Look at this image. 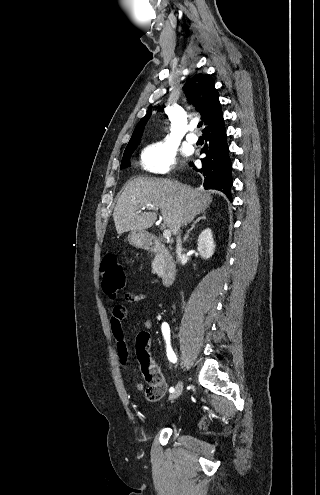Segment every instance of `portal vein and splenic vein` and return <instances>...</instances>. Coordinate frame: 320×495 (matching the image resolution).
Returning a JSON list of instances; mask_svg holds the SVG:
<instances>
[{
    "instance_id": "portal-vein-and-splenic-vein-1",
    "label": "portal vein and splenic vein",
    "mask_w": 320,
    "mask_h": 495,
    "mask_svg": "<svg viewBox=\"0 0 320 495\" xmlns=\"http://www.w3.org/2000/svg\"><path fill=\"white\" fill-rule=\"evenodd\" d=\"M145 209H149V210H157V209H156L155 207H153V206H146V207L142 208L141 210H145ZM141 210H140V211H141ZM163 237H164L165 239H167V240H168V239L171 237V231H170L169 229H165V230H164V232H163Z\"/></svg>"
}]
</instances>
